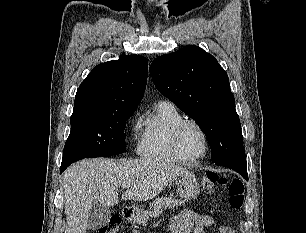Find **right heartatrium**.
<instances>
[{
  "instance_id": "d8ad5b80",
  "label": "right heart atrium",
  "mask_w": 306,
  "mask_h": 233,
  "mask_svg": "<svg viewBox=\"0 0 306 233\" xmlns=\"http://www.w3.org/2000/svg\"><path fill=\"white\" fill-rule=\"evenodd\" d=\"M137 124H138V123H137V122H135V124H134V128H137Z\"/></svg>"
}]
</instances>
